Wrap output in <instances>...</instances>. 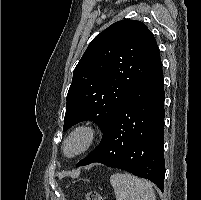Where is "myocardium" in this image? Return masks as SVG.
Instances as JSON below:
<instances>
[{
	"label": "myocardium",
	"instance_id": "f54148a6",
	"mask_svg": "<svg viewBox=\"0 0 201 200\" xmlns=\"http://www.w3.org/2000/svg\"><path fill=\"white\" fill-rule=\"evenodd\" d=\"M76 136H82L84 138L83 145L76 152L69 153L67 151V146L69 142ZM98 137H99V130L96 126L90 123L79 124L76 127H74L64 139L62 145L63 154L67 158H76L80 155H83L84 153H86L88 150L91 149V147L97 141Z\"/></svg>",
	"mask_w": 201,
	"mask_h": 200
}]
</instances>
